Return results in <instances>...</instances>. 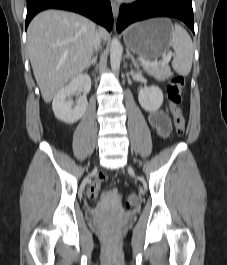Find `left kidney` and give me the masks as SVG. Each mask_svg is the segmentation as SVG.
<instances>
[{"mask_svg":"<svg viewBox=\"0 0 227 265\" xmlns=\"http://www.w3.org/2000/svg\"><path fill=\"white\" fill-rule=\"evenodd\" d=\"M138 100L144 110L155 112L163 103V93L157 86L144 87L139 91Z\"/></svg>","mask_w":227,"mask_h":265,"instance_id":"1","label":"left kidney"}]
</instances>
